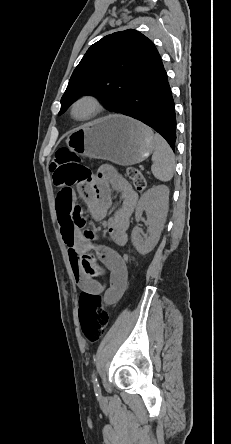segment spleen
I'll return each mask as SVG.
<instances>
[{
	"label": "spleen",
	"mask_w": 231,
	"mask_h": 444,
	"mask_svg": "<svg viewBox=\"0 0 231 444\" xmlns=\"http://www.w3.org/2000/svg\"><path fill=\"white\" fill-rule=\"evenodd\" d=\"M154 152L151 171L161 181H169L175 171V155L169 144L158 134L154 135Z\"/></svg>",
	"instance_id": "spleen-1"
}]
</instances>
